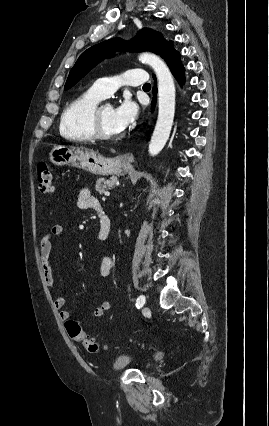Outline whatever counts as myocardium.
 <instances>
[{"label":"myocardium","instance_id":"myocardium-1","mask_svg":"<svg viewBox=\"0 0 269 426\" xmlns=\"http://www.w3.org/2000/svg\"><path fill=\"white\" fill-rule=\"evenodd\" d=\"M103 106L104 104H98L94 108L91 115V129L93 131L94 139H97L103 142L118 140L120 138V134L117 136H110V135H107L102 128L101 121H100V112Z\"/></svg>","mask_w":269,"mask_h":426}]
</instances>
